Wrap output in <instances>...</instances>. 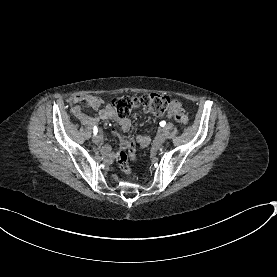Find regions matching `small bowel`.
I'll list each match as a JSON object with an SVG mask.
<instances>
[{
    "mask_svg": "<svg viewBox=\"0 0 277 277\" xmlns=\"http://www.w3.org/2000/svg\"><path fill=\"white\" fill-rule=\"evenodd\" d=\"M82 98H88V95H82ZM94 107L99 108L96 115H90L86 113L82 107L79 105L81 102V97H74L71 105V112L82 122H91L95 120H114L116 121L123 133H126L131 128V120L127 117H119L113 106L111 104H104L103 100L99 97H90ZM181 110V104L178 101H173L170 106L169 118L175 117L176 113ZM117 136L123 141V136L121 132H116ZM138 142L142 146H146L149 143V137L144 134H139L137 136ZM124 144L128 146L135 145L134 138H125ZM102 154L105 155L108 162L113 163L116 160L114 152L110 151L109 147L104 146L101 149Z\"/></svg>",
    "mask_w": 277,
    "mask_h": 277,
    "instance_id": "1",
    "label": "small bowel"
}]
</instances>
